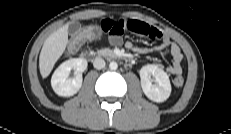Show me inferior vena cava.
I'll return each mask as SVG.
<instances>
[{"label": "inferior vena cava", "instance_id": "1", "mask_svg": "<svg viewBox=\"0 0 231 134\" xmlns=\"http://www.w3.org/2000/svg\"><path fill=\"white\" fill-rule=\"evenodd\" d=\"M93 66L98 70L103 69L105 67V61L102 58H96L93 61Z\"/></svg>", "mask_w": 231, "mask_h": 134}]
</instances>
